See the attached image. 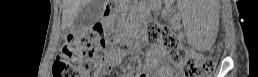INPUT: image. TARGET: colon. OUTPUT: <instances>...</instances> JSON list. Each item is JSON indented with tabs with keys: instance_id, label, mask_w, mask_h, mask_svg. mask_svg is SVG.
Returning a JSON list of instances; mask_svg holds the SVG:
<instances>
[{
	"instance_id": "colon-1",
	"label": "colon",
	"mask_w": 258,
	"mask_h": 77,
	"mask_svg": "<svg viewBox=\"0 0 258 77\" xmlns=\"http://www.w3.org/2000/svg\"><path fill=\"white\" fill-rule=\"evenodd\" d=\"M111 33L99 28L96 33L69 35L53 64V77H88L100 66V51L119 52L121 44L111 39ZM144 40L160 44L171 62L180 67L186 77H207L214 72L215 62L198 59L181 44L170 28L151 22L144 30Z\"/></svg>"
}]
</instances>
